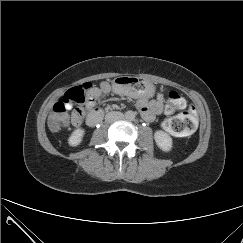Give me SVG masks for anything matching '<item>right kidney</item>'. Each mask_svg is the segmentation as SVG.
Segmentation results:
<instances>
[{"label": "right kidney", "mask_w": 243, "mask_h": 243, "mask_svg": "<svg viewBox=\"0 0 243 243\" xmlns=\"http://www.w3.org/2000/svg\"><path fill=\"white\" fill-rule=\"evenodd\" d=\"M84 134H85L84 129L74 130L73 133L71 134V136L68 139L69 145L70 146H78L81 143Z\"/></svg>", "instance_id": "right-kidney-1"}]
</instances>
